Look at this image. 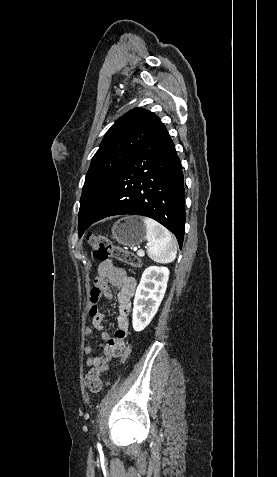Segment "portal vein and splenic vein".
I'll return each instance as SVG.
<instances>
[{
    "label": "portal vein and splenic vein",
    "mask_w": 277,
    "mask_h": 477,
    "mask_svg": "<svg viewBox=\"0 0 277 477\" xmlns=\"http://www.w3.org/2000/svg\"><path fill=\"white\" fill-rule=\"evenodd\" d=\"M134 251H136L139 256H143V255H144V251H143V250H138L137 247H134Z\"/></svg>",
    "instance_id": "18ae733b"
}]
</instances>
